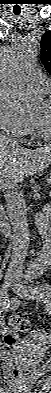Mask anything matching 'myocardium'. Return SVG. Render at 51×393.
Returning <instances> with one entry per match:
<instances>
[{
	"label": "myocardium",
	"mask_w": 51,
	"mask_h": 393,
	"mask_svg": "<svg viewBox=\"0 0 51 393\" xmlns=\"http://www.w3.org/2000/svg\"><path fill=\"white\" fill-rule=\"evenodd\" d=\"M45 102L51 106V97L47 98ZM34 122L40 131L41 135L45 138H49L51 136V127H46V125L39 119L34 118Z\"/></svg>",
	"instance_id": "obj_1"
}]
</instances>
